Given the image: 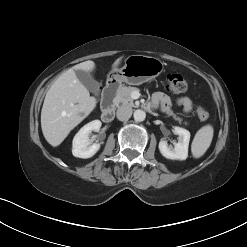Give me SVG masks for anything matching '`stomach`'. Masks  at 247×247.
Masks as SVG:
<instances>
[{"label":"stomach","instance_id":"stomach-1","mask_svg":"<svg viewBox=\"0 0 247 247\" xmlns=\"http://www.w3.org/2000/svg\"><path fill=\"white\" fill-rule=\"evenodd\" d=\"M164 70V63L155 57L130 55L122 68L113 69L107 77L110 83L140 85L159 76Z\"/></svg>","mask_w":247,"mask_h":247}]
</instances>
